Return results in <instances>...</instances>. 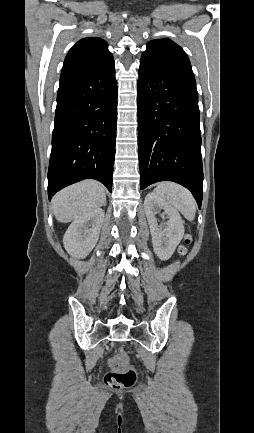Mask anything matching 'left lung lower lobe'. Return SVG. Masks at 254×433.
<instances>
[{
    "label": "left lung lower lobe",
    "mask_w": 254,
    "mask_h": 433,
    "mask_svg": "<svg viewBox=\"0 0 254 433\" xmlns=\"http://www.w3.org/2000/svg\"><path fill=\"white\" fill-rule=\"evenodd\" d=\"M140 189L173 181L202 203L203 169L195 78L141 58L138 79Z\"/></svg>",
    "instance_id": "obj_1"
}]
</instances>
